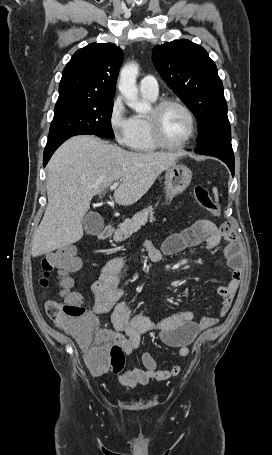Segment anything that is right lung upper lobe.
<instances>
[{"mask_svg": "<svg viewBox=\"0 0 272 455\" xmlns=\"http://www.w3.org/2000/svg\"><path fill=\"white\" fill-rule=\"evenodd\" d=\"M123 51L112 43H91L65 66L58 101L113 99Z\"/></svg>", "mask_w": 272, "mask_h": 455, "instance_id": "right-lung-upper-lobe-1", "label": "right lung upper lobe"}]
</instances>
